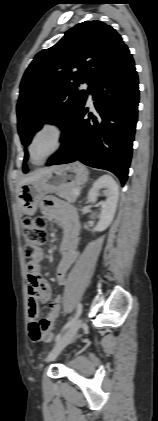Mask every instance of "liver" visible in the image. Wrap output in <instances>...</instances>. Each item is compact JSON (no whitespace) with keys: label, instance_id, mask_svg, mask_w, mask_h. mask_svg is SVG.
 Instances as JSON below:
<instances>
[{"label":"liver","instance_id":"6515ba94","mask_svg":"<svg viewBox=\"0 0 158 421\" xmlns=\"http://www.w3.org/2000/svg\"><path fill=\"white\" fill-rule=\"evenodd\" d=\"M52 168H53V167H50V168H41V169L35 170V171H34V172H32L31 174H29L27 177L23 178V179H22V180L18 183V186H17V192H18L19 188H20L23 184L28 183V182H31V181H33V180H36V179L40 178L41 176H43L44 174H46L47 172H49L50 170H52Z\"/></svg>","mask_w":158,"mask_h":421}]
</instances>
